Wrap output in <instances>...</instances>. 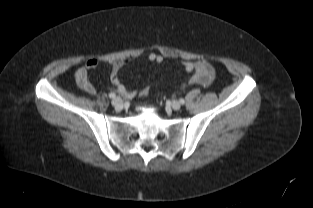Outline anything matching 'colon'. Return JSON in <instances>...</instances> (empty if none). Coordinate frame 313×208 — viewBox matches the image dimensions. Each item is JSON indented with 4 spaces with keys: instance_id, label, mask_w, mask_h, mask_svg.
Segmentation results:
<instances>
[{
    "instance_id": "obj_1",
    "label": "colon",
    "mask_w": 313,
    "mask_h": 208,
    "mask_svg": "<svg viewBox=\"0 0 313 208\" xmlns=\"http://www.w3.org/2000/svg\"><path fill=\"white\" fill-rule=\"evenodd\" d=\"M149 93V89L148 88H144L140 91V95L141 96H147Z\"/></svg>"
}]
</instances>
